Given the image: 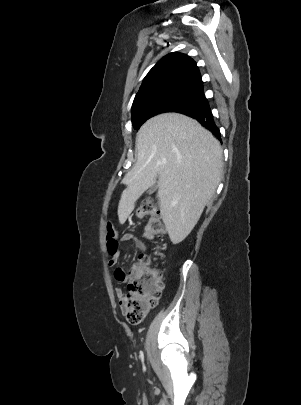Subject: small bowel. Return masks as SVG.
<instances>
[{"instance_id":"1","label":"small bowel","mask_w":301,"mask_h":405,"mask_svg":"<svg viewBox=\"0 0 301 405\" xmlns=\"http://www.w3.org/2000/svg\"><path fill=\"white\" fill-rule=\"evenodd\" d=\"M121 241H123V242H132L137 249H139L141 251L145 250L144 243L142 241H140L134 234L126 233V234L122 235ZM120 255H121V250L118 247V249L111 255V259L109 261V264L110 265L116 264V262L118 261ZM115 278L120 282H126L127 281V275H126L125 271L121 267H119V268H117L115 270ZM115 292H116V295L120 299H122L123 294H124L123 289L120 288V287H117L115 289Z\"/></svg>"}]
</instances>
